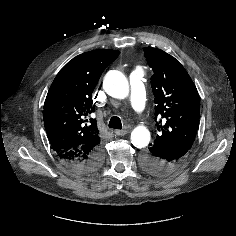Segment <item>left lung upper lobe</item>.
<instances>
[{
  "instance_id": "5c2ea615",
  "label": "left lung upper lobe",
  "mask_w": 236,
  "mask_h": 236,
  "mask_svg": "<svg viewBox=\"0 0 236 236\" xmlns=\"http://www.w3.org/2000/svg\"><path fill=\"white\" fill-rule=\"evenodd\" d=\"M153 69L155 120L159 135L152 146L190 149L197 133L200 102L197 89L185 68L160 49H144ZM158 118V119H157Z\"/></svg>"
}]
</instances>
